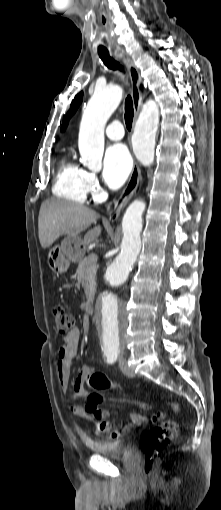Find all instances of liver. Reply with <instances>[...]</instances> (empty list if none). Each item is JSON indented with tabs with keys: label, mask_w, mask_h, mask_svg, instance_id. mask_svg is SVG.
Returning <instances> with one entry per match:
<instances>
[{
	"label": "liver",
	"mask_w": 221,
	"mask_h": 510,
	"mask_svg": "<svg viewBox=\"0 0 221 510\" xmlns=\"http://www.w3.org/2000/svg\"><path fill=\"white\" fill-rule=\"evenodd\" d=\"M99 214L81 204L51 198L41 204L38 229L39 241L42 248L52 245L60 236L75 237L86 230ZM101 226H95L87 231L83 244L95 241L101 234Z\"/></svg>",
	"instance_id": "1"
}]
</instances>
